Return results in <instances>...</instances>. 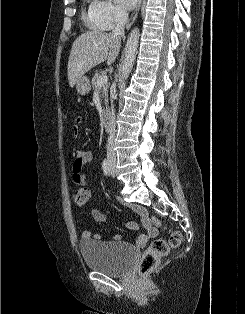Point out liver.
Wrapping results in <instances>:
<instances>
[{
    "mask_svg": "<svg viewBox=\"0 0 245 314\" xmlns=\"http://www.w3.org/2000/svg\"><path fill=\"white\" fill-rule=\"evenodd\" d=\"M121 41L112 33L88 31L74 41L68 60V82L73 87L90 69L107 60L111 65L117 58Z\"/></svg>",
    "mask_w": 245,
    "mask_h": 314,
    "instance_id": "6515ba94",
    "label": "liver"
}]
</instances>
